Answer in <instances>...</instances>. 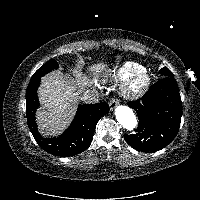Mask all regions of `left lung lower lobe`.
I'll return each instance as SVG.
<instances>
[{"instance_id":"0a47b994","label":"left lung lower lobe","mask_w":200,"mask_h":200,"mask_svg":"<svg viewBox=\"0 0 200 200\" xmlns=\"http://www.w3.org/2000/svg\"><path fill=\"white\" fill-rule=\"evenodd\" d=\"M138 116L135 134H125L126 142L138 151L155 152L173 141L181 121L182 104L173 77L156 82L141 99L128 102Z\"/></svg>"}]
</instances>
